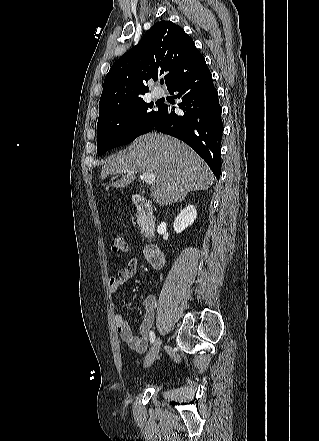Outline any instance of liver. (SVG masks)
<instances>
[{
  "instance_id": "1",
  "label": "liver",
  "mask_w": 319,
  "mask_h": 441,
  "mask_svg": "<svg viewBox=\"0 0 319 441\" xmlns=\"http://www.w3.org/2000/svg\"><path fill=\"white\" fill-rule=\"evenodd\" d=\"M138 171L156 175L150 195L162 206L184 200L190 191L206 190L214 181L208 165L193 149L174 137L155 132L137 138L128 151L109 157L102 167L101 179L122 174L112 186L123 188Z\"/></svg>"
}]
</instances>
